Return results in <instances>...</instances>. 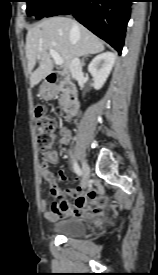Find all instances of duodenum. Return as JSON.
Returning a JSON list of instances; mask_svg holds the SVG:
<instances>
[{"instance_id": "1", "label": "duodenum", "mask_w": 158, "mask_h": 275, "mask_svg": "<svg viewBox=\"0 0 158 275\" xmlns=\"http://www.w3.org/2000/svg\"><path fill=\"white\" fill-rule=\"evenodd\" d=\"M47 86L45 91L48 93L50 97L54 96V93L61 88L64 83V74L59 71H52L46 76ZM66 102L64 105V111L68 118H73L79 109V99H78V91L77 88L68 84L65 92Z\"/></svg>"}]
</instances>
